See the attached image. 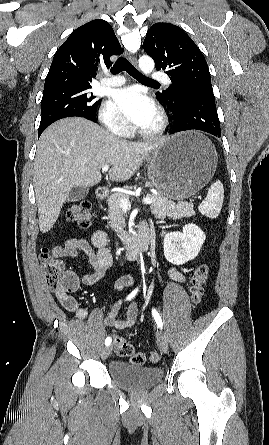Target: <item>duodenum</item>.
<instances>
[{"label":"duodenum","mask_w":269,"mask_h":445,"mask_svg":"<svg viewBox=\"0 0 269 445\" xmlns=\"http://www.w3.org/2000/svg\"><path fill=\"white\" fill-rule=\"evenodd\" d=\"M108 196L107 191L104 188L97 190V198L99 200H105ZM151 237L149 231H141L137 238L131 242L125 243L122 247L124 256L127 259H135L149 248Z\"/></svg>","instance_id":"1"}]
</instances>
